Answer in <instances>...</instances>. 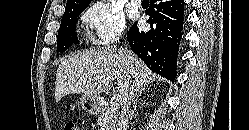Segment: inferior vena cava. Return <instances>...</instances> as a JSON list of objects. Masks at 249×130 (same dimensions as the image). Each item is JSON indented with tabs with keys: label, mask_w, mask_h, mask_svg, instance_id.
<instances>
[{
	"label": "inferior vena cava",
	"mask_w": 249,
	"mask_h": 130,
	"mask_svg": "<svg viewBox=\"0 0 249 130\" xmlns=\"http://www.w3.org/2000/svg\"><path fill=\"white\" fill-rule=\"evenodd\" d=\"M137 92H139V86L138 84L133 83L123 99V107L119 117L117 130H127L130 105L136 97Z\"/></svg>",
	"instance_id": "obj_1"
}]
</instances>
